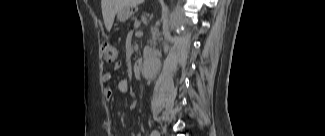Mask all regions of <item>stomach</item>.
<instances>
[{"label": "stomach", "instance_id": "obj_1", "mask_svg": "<svg viewBox=\"0 0 325 136\" xmlns=\"http://www.w3.org/2000/svg\"><path fill=\"white\" fill-rule=\"evenodd\" d=\"M135 13V6L134 5H129L128 8H125L121 12L118 13V19L120 21H125L127 20L131 15H134Z\"/></svg>", "mask_w": 325, "mask_h": 136}]
</instances>
